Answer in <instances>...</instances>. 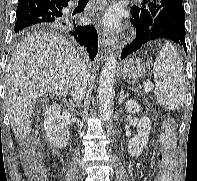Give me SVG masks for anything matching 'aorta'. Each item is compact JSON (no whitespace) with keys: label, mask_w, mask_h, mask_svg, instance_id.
I'll return each mask as SVG.
<instances>
[{"label":"aorta","mask_w":197,"mask_h":181,"mask_svg":"<svg viewBox=\"0 0 197 181\" xmlns=\"http://www.w3.org/2000/svg\"><path fill=\"white\" fill-rule=\"evenodd\" d=\"M116 55L111 53L102 68L98 87L99 110L101 119L108 122L112 113L113 86L116 73Z\"/></svg>","instance_id":"1"}]
</instances>
